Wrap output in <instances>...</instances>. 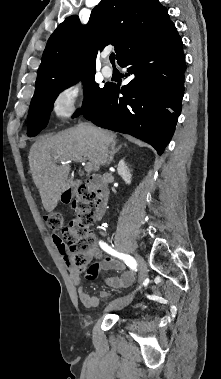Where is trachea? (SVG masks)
Returning a JSON list of instances; mask_svg holds the SVG:
<instances>
[{
	"mask_svg": "<svg viewBox=\"0 0 221 379\" xmlns=\"http://www.w3.org/2000/svg\"><path fill=\"white\" fill-rule=\"evenodd\" d=\"M114 61H115V55H114V54H111V55H110V62H111L112 64H114Z\"/></svg>",
	"mask_w": 221,
	"mask_h": 379,
	"instance_id": "1",
	"label": "trachea"
}]
</instances>
